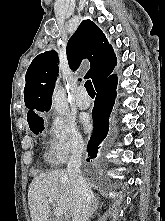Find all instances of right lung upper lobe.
I'll list each match as a JSON object with an SVG mask.
<instances>
[{"mask_svg":"<svg viewBox=\"0 0 165 221\" xmlns=\"http://www.w3.org/2000/svg\"><path fill=\"white\" fill-rule=\"evenodd\" d=\"M66 54L72 70H77L83 59L89 60L91 68L85 78H91L95 87L112 75L117 64L112 46L99 27L90 20L82 21L71 36ZM57 62V53L46 51L35 57L26 72L24 100L30 109L28 122L40 118L38 113L48 111L51 107V95L58 75Z\"/></svg>","mask_w":165,"mask_h":221,"instance_id":"obj_1","label":"right lung upper lobe"}]
</instances>
